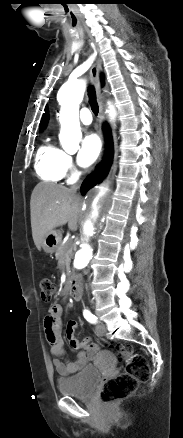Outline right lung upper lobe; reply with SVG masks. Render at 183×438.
Instances as JSON below:
<instances>
[{"instance_id": "1", "label": "right lung upper lobe", "mask_w": 183, "mask_h": 438, "mask_svg": "<svg viewBox=\"0 0 183 438\" xmlns=\"http://www.w3.org/2000/svg\"><path fill=\"white\" fill-rule=\"evenodd\" d=\"M102 81H103V79H102ZM47 121H48V112H47V109H45V113L43 114L41 122H40V129L41 130L46 127Z\"/></svg>"}]
</instances>
